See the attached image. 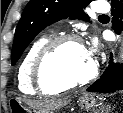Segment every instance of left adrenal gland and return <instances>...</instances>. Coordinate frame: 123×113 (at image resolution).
Listing matches in <instances>:
<instances>
[{
  "instance_id": "1",
  "label": "left adrenal gland",
  "mask_w": 123,
  "mask_h": 113,
  "mask_svg": "<svg viewBox=\"0 0 123 113\" xmlns=\"http://www.w3.org/2000/svg\"><path fill=\"white\" fill-rule=\"evenodd\" d=\"M106 109H107V108H106ZM101 110H102L101 113H105L104 107H102ZM94 112H95V113H99V111H94ZM106 112H108V111H106Z\"/></svg>"
}]
</instances>
